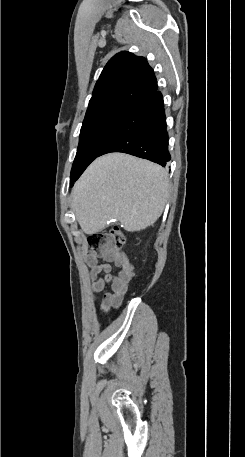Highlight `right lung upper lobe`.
I'll return each instance as SVG.
<instances>
[{"label": "right lung upper lobe", "mask_w": 245, "mask_h": 457, "mask_svg": "<svg viewBox=\"0 0 245 457\" xmlns=\"http://www.w3.org/2000/svg\"><path fill=\"white\" fill-rule=\"evenodd\" d=\"M157 90V81L143 57L120 52L112 57L98 79L87 113L130 110Z\"/></svg>", "instance_id": "cb5924a9"}]
</instances>
